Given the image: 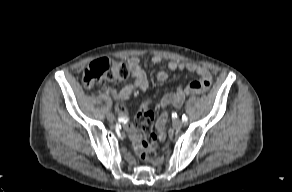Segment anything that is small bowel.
I'll return each instance as SVG.
<instances>
[{
	"label": "small bowel",
	"mask_w": 292,
	"mask_h": 192,
	"mask_svg": "<svg viewBox=\"0 0 292 192\" xmlns=\"http://www.w3.org/2000/svg\"><path fill=\"white\" fill-rule=\"evenodd\" d=\"M152 62L154 64H159L161 62V57L154 56L152 58ZM126 65L129 69L130 75L134 78V82L129 85H126L119 92L112 87H109L107 89L108 93L112 95L115 98V100L118 102L119 111L122 114V116H125V117L126 115H125L124 104L126 100L129 98V96L137 90L146 91L149 86L147 72L143 69L141 65V61L138 57H130L126 61ZM168 68L172 71L186 70L189 72L196 73L199 76L198 80H195L188 85V87L186 88L187 93H203L211 85L212 77L209 70L206 67L193 64V63H180L176 61H170L168 63ZM167 78H168V74L165 71L158 72L157 79L160 82L166 81ZM184 99H185V91L182 89H178L175 93L167 94L163 98H161L158 101L157 105L159 107H165L168 105L179 107L184 102ZM169 116H170V112L168 110H165L163 114L159 116L158 118L159 122L156 125V128L159 132L154 133L152 136V139L154 142L160 143L167 138L166 128H167V123L169 121ZM124 127L126 131L128 132L130 139L132 140L135 148L139 151L141 149L142 140H143V137L141 134L142 130L140 129L141 130L140 132L133 124L129 122H126L124 124ZM150 131L152 132V127Z\"/></svg>",
	"instance_id": "obj_1"
}]
</instances>
